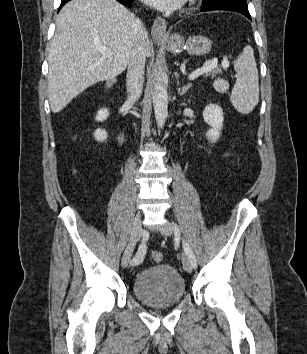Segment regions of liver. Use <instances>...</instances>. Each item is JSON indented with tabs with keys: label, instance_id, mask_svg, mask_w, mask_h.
I'll use <instances>...</instances> for the list:
<instances>
[{
	"label": "liver",
	"instance_id": "1",
	"mask_svg": "<svg viewBox=\"0 0 307 354\" xmlns=\"http://www.w3.org/2000/svg\"><path fill=\"white\" fill-rule=\"evenodd\" d=\"M136 20L116 0H71L62 7L48 54L53 113L91 85L113 79L127 68L137 36ZM97 45L108 47L112 55L103 57ZM145 53L151 55L148 38Z\"/></svg>",
	"mask_w": 307,
	"mask_h": 354
}]
</instances>
